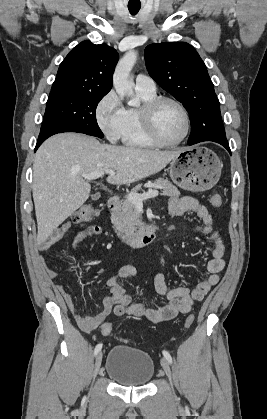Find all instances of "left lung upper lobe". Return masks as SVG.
Masks as SVG:
<instances>
[{"label":"left lung upper lobe","instance_id":"obj_1","mask_svg":"<svg viewBox=\"0 0 267 419\" xmlns=\"http://www.w3.org/2000/svg\"><path fill=\"white\" fill-rule=\"evenodd\" d=\"M144 55L150 76L188 111L191 132L205 125L215 138H226L214 85L193 46L186 42L151 44Z\"/></svg>","mask_w":267,"mask_h":419}]
</instances>
